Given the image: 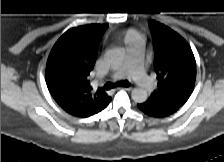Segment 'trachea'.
I'll list each match as a JSON object with an SVG mask.
<instances>
[{
  "label": "trachea",
  "mask_w": 224,
  "mask_h": 162,
  "mask_svg": "<svg viewBox=\"0 0 224 162\" xmlns=\"http://www.w3.org/2000/svg\"><path fill=\"white\" fill-rule=\"evenodd\" d=\"M129 82L127 80L125 81H120V82H117L116 84L115 83H111V82H107L105 85H104V88L106 90H110L112 88H115L116 86L118 87H127L129 86Z\"/></svg>",
  "instance_id": "trachea-1"
}]
</instances>
